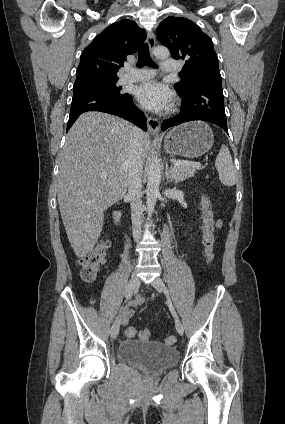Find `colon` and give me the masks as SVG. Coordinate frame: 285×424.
Instances as JSON below:
<instances>
[{
  "label": "colon",
  "mask_w": 285,
  "mask_h": 424,
  "mask_svg": "<svg viewBox=\"0 0 285 424\" xmlns=\"http://www.w3.org/2000/svg\"><path fill=\"white\" fill-rule=\"evenodd\" d=\"M201 207L204 211V228H203V255L208 264H211L214 258L213 245H214V228L215 225L209 218L208 210L210 208V202L206 196L203 197ZM110 243L106 238H102L98 241L94 249L87 255L80 259V275L82 280L86 282L93 281L99 271L101 270L109 251ZM136 335V330L133 327H129L126 330V336L133 338ZM141 339L147 340L151 337L149 330H142L139 332ZM175 337L170 336L166 339L169 344L175 343Z\"/></svg>",
  "instance_id": "1"
}]
</instances>
